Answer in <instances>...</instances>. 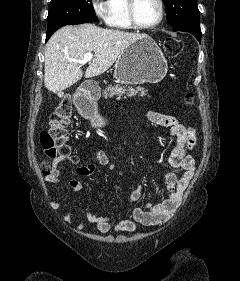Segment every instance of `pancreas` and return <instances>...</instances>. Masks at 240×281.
Returning <instances> with one entry per match:
<instances>
[{
  "label": "pancreas",
  "mask_w": 240,
  "mask_h": 281,
  "mask_svg": "<svg viewBox=\"0 0 240 281\" xmlns=\"http://www.w3.org/2000/svg\"><path fill=\"white\" fill-rule=\"evenodd\" d=\"M147 93V90H145L143 87H136V88H133V87H122L118 84L112 86V85H109L104 91H103V96L105 98L107 97H114V96H117L118 99H121V97H132V96H135V95H138V96H145Z\"/></svg>",
  "instance_id": "cf45deb5"
}]
</instances>
